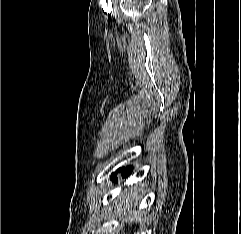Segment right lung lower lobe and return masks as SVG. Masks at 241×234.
Returning <instances> with one entry per match:
<instances>
[{"mask_svg":"<svg viewBox=\"0 0 241 234\" xmlns=\"http://www.w3.org/2000/svg\"><path fill=\"white\" fill-rule=\"evenodd\" d=\"M118 172H121V173H122V177H123V178H126L127 175L130 173V171H129L128 168H126V169H125V168L119 169ZM111 179H112L113 181H117V175H116V173H113V174H112Z\"/></svg>","mask_w":241,"mask_h":234,"instance_id":"obj_1","label":"right lung lower lobe"}]
</instances>
